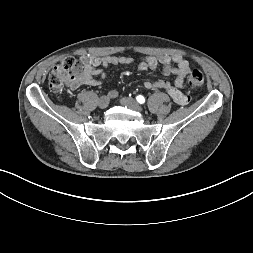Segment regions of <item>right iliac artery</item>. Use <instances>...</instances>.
<instances>
[{
    "label": "right iliac artery",
    "instance_id": "82829eb1",
    "mask_svg": "<svg viewBox=\"0 0 253 253\" xmlns=\"http://www.w3.org/2000/svg\"><path fill=\"white\" fill-rule=\"evenodd\" d=\"M118 96V92L116 90H111L108 92L107 94V97L108 98H111V99H114Z\"/></svg>",
    "mask_w": 253,
    "mask_h": 253
}]
</instances>
